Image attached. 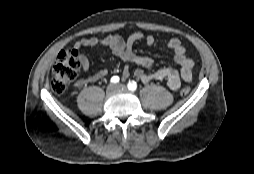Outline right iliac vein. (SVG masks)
<instances>
[{"label":"right iliac vein","instance_id":"obj_1","mask_svg":"<svg viewBox=\"0 0 254 174\" xmlns=\"http://www.w3.org/2000/svg\"><path fill=\"white\" fill-rule=\"evenodd\" d=\"M115 90H116V85L110 84V85H108V87H107V89H106V92H107V94H111V93H113Z\"/></svg>","mask_w":254,"mask_h":174}]
</instances>
